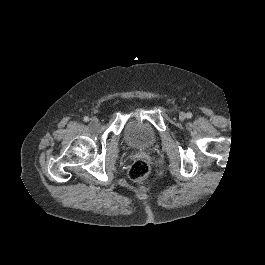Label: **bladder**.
I'll use <instances>...</instances> for the list:
<instances>
[{
    "label": "bladder",
    "instance_id": "31cf9c89",
    "mask_svg": "<svg viewBox=\"0 0 265 265\" xmlns=\"http://www.w3.org/2000/svg\"><path fill=\"white\" fill-rule=\"evenodd\" d=\"M125 138L129 145L136 149H147L155 145L156 133L146 122H132L126 132Z\"/></svg>",
    "mask_w": 265,
    "mask_h": 265
}]
</instances>
